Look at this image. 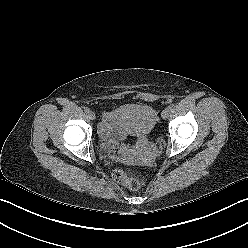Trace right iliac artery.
Listing matches in <instances>:
<instances>
[{"instance_id": "82829eb1", "label": "right iliac artery", "mask_w": 248, "mask_h": 248, "mask_svg": "<svg viewBox=\"0 0 248 248\" xmlns=\"http://www.w3.org/2000/svg\"><path fill=\"white\" fill-rule=\"evenodd\" d=\"M85 113L88 114L90 112V109L89 108H85Z\"/></svg>"}]
</instances>
